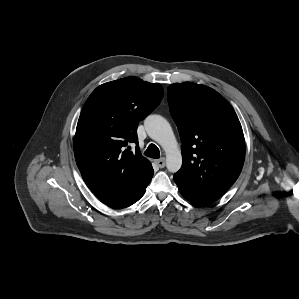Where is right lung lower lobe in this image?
Listing matches in <instances>:
<instances>
[{"label":"right lung lower lobe","mask_w":299,"mask_h":299,"mask_svg":"<svg viewBox=\"0 0 299 299\" xmlns=\"http://www.w3.org/2000/svg\"><path fill=\"white\" fill-rule=\"evenodd\" d=\"M147 185H145L140 190H137V191L129 193V194L120 195V196L111 197V198H99V197L98 198L104 204H106L110 207H114V208L128 207V206L134 204L135 202H137L143 196V194L145 193Z\"/></svg>","instance_id":"obj_1"}]
</instances>
